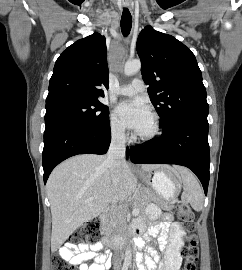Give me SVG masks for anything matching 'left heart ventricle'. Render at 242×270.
<instances>
[{
  "instance_id": "left-heart-ventricle-1",
  "label": "left heart ventricle",
  "mask_w": 242,
  "mask_h": 270,
  "mask_svg": "<svg viewBox=\"0 0 242 270\" xmlns=\"http://www.w3.org/2000/svg\"><path fill=\"white\" fill-rule=\"evenodd\" d=\"M151 127H152V119H150L149 122L145 125V127L137 133L146 134L151 130Z\"/></svg>"
}]
</instances>
